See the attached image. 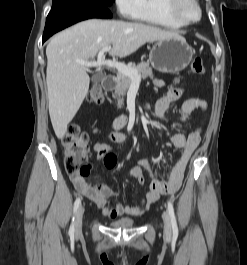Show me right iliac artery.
Wrapping results in <instances>:
<instances>
[{
    "mask_svg": "<svg viewBox=\"0 0 247 265\" xmlns=\"http://www.w3.org/2000/svg\"><path fill=\"white\" fill-rule=\"evenodd\" d=\"M80 204H81V198H77L75 200V203H74V214L76 213V211H77V209H78ZM74 220H75V216L72 219V224H71L70 229H69L70 237H73L74 236V232H75Z\"/></svg>",
    "mask_w": 247,
    "mask_h": 265,
    "instance_id": "1",
    "label": "right iliac artery"
}]
</instances>
